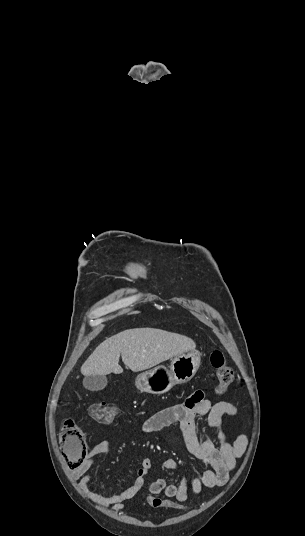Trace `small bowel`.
I'll return each instance as SVG.
<instances>
[{
  "label": "small bowel",
  "instance_id": "small-bowel-1",
  "mask_svg": "<svg viewBox=\"0 0 305 536\" xmlns=\"http://www.w3.org/2000/svg\"><path fill=\"white\" fill-rule=\"evenodd\" d=\"M235 413L236 408L233 404L225 401L212 404L210 400L205 398L202 390H196L183 403L161 409L147 418L143 423L142 430L146 434H151L169 425L180 424L187 450L209 467L200 476L193 478L190 483L192 491L199 494L204 487L223 486L228 481L235 460L241 457L246 449L247 438L245 435H238L231 443L223 430V417L232 416ZM203 417L216 432L218 445H215L210 439H199L197 434L198 420ZM109 450L110 445L106 441L94 444L87 451L82 463L73 471V477L80 479L81 489L93 502L119 511L123 508L124 502L131 499L144 486L145 477L152 466V461L149 458L141 460L135 477L128 488L112 495H102L93 491V477L88 471L94 464L95 457L107 454ZM161 466L165 470H181L180 462L172 458L163 460ZM149 492L157 495L158 493L180 495L181 500L189 498L188 482L184 476L177 485L167 483L162 478L157 479L150 484Z\"/></svg>",
  "mask_w": 305,
  "mask_h": 536
}]
</instances>
